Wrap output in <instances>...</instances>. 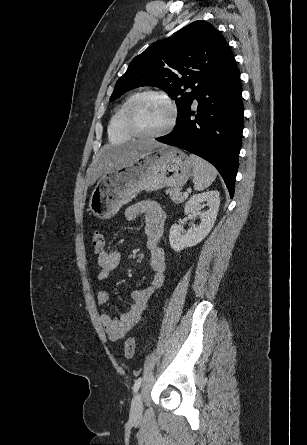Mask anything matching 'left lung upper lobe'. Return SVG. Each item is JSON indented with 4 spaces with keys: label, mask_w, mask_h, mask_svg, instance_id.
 Segmentation results:
<instances>
[{
    "label": "left lung upper lobe",
    "mask_w": 307,
    "mask_h": 445,
    "mask_svg": "<svg viewBox=\"0 0 307 445\" xmlns=\"http://www.w3.org/2000/svg\"><path fill=\"white\" fill-rule=\"evenodd\" d=\"M233 58L227 42L207 21H195L173 36L152 43L116 82L110 100L140 86H157L175 99L178 123L196 96ZM192 91L184 93L185 89Z\"/></svg>",
    "instance_id": "5c2ea615"
}]
</instances>
